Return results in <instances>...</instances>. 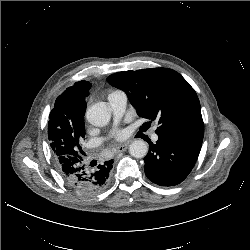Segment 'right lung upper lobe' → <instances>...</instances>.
<instances>
[{"label": "right lung upper lobe", "instance_id": "right-lung-upper-lobe-1", "mask_svg": "<svg viewBox=\"0 0 250 250\" xmlns=\"http://www.w3.org/2000/svg\"><path fill=\"white\" fill-rule=\"evenodd\" d=\"M90 88L91 84L84 80L67 88L57 97L49 115V123H57L56 127L71 130L84 122L86 98Z\"/></svg>", "mask_w": 250, "mask_h": 250}]
</instances>
